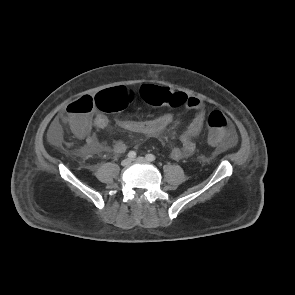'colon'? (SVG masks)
<instances>
[{
	"mask_svg": "<svg viewBox=\"0 0 295 295\" xmlns=\"http://www.w3.org/2000/svg\"><path fill=\"white\" fill-rule=\"evenodd\" d=\"M140 94L149 104L155 106L179 107L185 105L187 96L156 85H144ZM134 98V92L126 86L105 89L94 97L84 96L70 103L66 108L65 119L72 129L97 108L103 112H115L127 107ZM209 128L208 142L212 145L231 141L232 129L227 118L220 111H211L206 116Z\"/></svg>",
	"mask_w": 295,
	"mask_h": 295,
	"instance_id": "obj_1",
	"label": "colon"
}]
</instances>
